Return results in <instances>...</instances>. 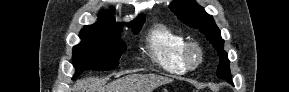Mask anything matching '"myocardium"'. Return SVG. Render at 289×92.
<instances>
[{"label":"myocardium","instance_id":"myocardium-1","mask_svg":"<svg viewBox=\"0 0 289 92\" xmlns=\"http://www.w3.org/2000/svg\"><path fill=\"white\" fill-rule=\"evenodd\" d=\"M203 61V50L197 42H187L183 50V62L187 69L194 70Z\"/></svg>","mask_w":289,"mask_h":92}]
</instances>
